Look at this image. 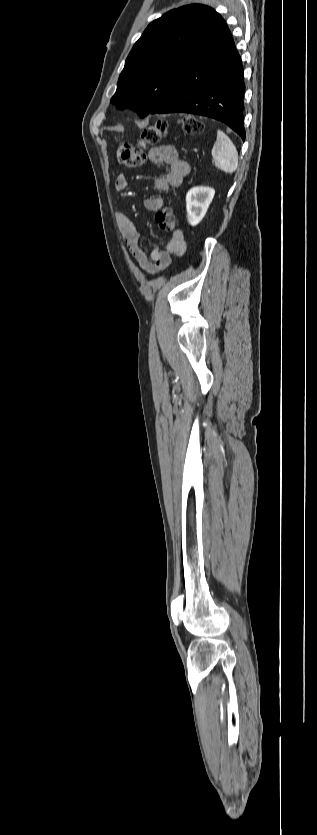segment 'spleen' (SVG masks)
<instances>
[{"label": "spleen", "mask_w": 317, "mask_h": 835, "mask_svg": "<svg viewBox=\"0 0 317 835\" xmlns=\"http://www.w3.org/2000/svg\"><path fill=\"white\" fill-rule=\"evenodd\" d=\"M212 157L217 169L232 174L238 167V152L230 138L221 130L217 131Z\"/></svg>", "instance_id": "obj_1"}]
</instances>
